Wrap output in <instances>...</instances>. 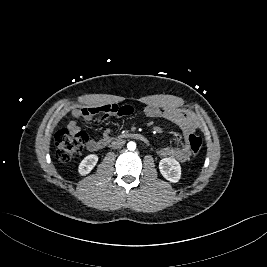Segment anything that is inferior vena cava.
<instances>
[{
    "label": "inferior vena cava",
    "mask_w": 267,
    "mask_h": 267,
    "mask_svg": "<svg viewBox=\"0 0 267 267\" xmlns=\"http://www.w3.org/2000/svg\"><path fill=\"white\" fill-rule=\"evenodd\" d=\"M125 144V140L123 139H116L112 142L111 146L113 149L121 148Z\"/></svg>",
    "instance_id": "inferior-vena-cava-1"
}]
</instances>
